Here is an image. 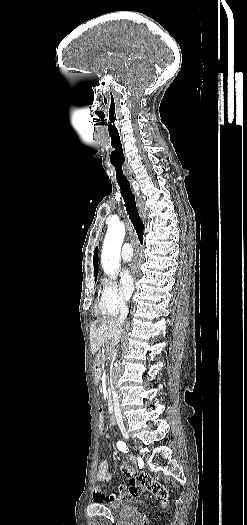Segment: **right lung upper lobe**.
<instances>
[{"label": "right lung upper lobe", "instance_id": "right-lung-upper-lobe-1", "mask_svg": "<svg viewBox=\"0 0 247 525\" xmlns=\"http://www.w3.org/2000/svg\"><path fill=\"white\" fill-rule=\"evenodd\" d=\"M93 264H94V274H95V276H97V273H98V247H96V249L94 251Z\"/></svg>", "mask_w": 247, "mask_h": 525}]
</instances>
